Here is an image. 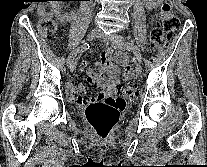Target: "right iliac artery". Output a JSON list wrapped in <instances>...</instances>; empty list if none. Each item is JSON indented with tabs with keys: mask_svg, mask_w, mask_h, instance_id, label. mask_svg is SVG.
I'll use <instances>...</instances> for the list:
<instances>
[{
	"mask_svg": "<svg viewBox=\"0 0 207 167\" xmlns=\"http://www.w3.org/2000/svg\"><path fill=\"white\" fill-rule=\"evenodd\" d=\"M89 49V44L85 43L84 45H81L80 47H78L77 49H75L69 56L67 59V65L69 66L71 64V62L73 61V59L75 58V56L77 55V53H81L85 50Z\"/></svg>",
	"mask_w": 207,
	"mask_h": 167,
	"instance_id": "82829eb1",
	"label": "right iliac artery"
}]
</instances>
